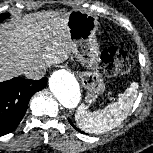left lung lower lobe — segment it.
Instances as JSON below:
<instances>
[{"mask_svg": "<svg viewBox=\"0 0 153 153\" xmlns=\"http://www.w3.org/2000/svg\"><path fill=\"white\" fill-rule=\"evenodd\" d=\"M68 120H69L70 124H71L76 130L80 131L79 129H77V128L72 124V122H71L70 119H68Z\"/></svg>", "mask_w": 153, "mask_h": 153, "instance_id": "1", "label": "left lung lower lobe"}]
</instances>
